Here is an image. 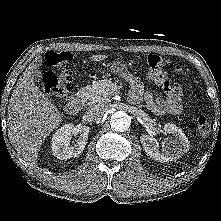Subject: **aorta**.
<instances>
[{"label": "aorta", "mask_w": 221, "mask_h": 221, "mask_svg": "<svg viewBox=\"0 0 221 221\" xmlns=\"http://www.w3.org/2000/svg\"><path fill=\"white\" fill-rule=\"evenodd\" d=\"M131 124L130 117L124 111L116 112L110 121L111 128L114 131L124 132L126 131Z\"/></svg>", "instance_id": "obj_1"}]
</instances>
